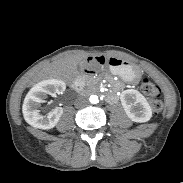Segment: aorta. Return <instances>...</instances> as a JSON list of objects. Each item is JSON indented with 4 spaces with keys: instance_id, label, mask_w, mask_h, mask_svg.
<instances>
[{
    "instance_id": "1",
    "label": "aorta",
    "mask_w": 183,
    "mask_h": 183,
    "mask_svg": "<svg viewBox=\"0 0 183 183\" xmlns=\"http://www.w3.org/2000/svg\"><path fill=\"white\" fill-rule=\"evenodd\" d=\"M90 102L93 103V104H97L99 102L98 96L91 95L90 96Z\"/></svg>"
}]
</instances>
